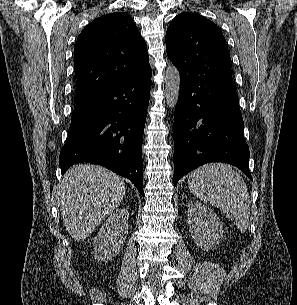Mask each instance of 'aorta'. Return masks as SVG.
Returning <instances> with one entry per match:
<instances>
[{
    "label": "aorta",
    "mask_w": 297,
    "mask_h": 305,
    "mask_svg": "<svg viewBox=\"0 0 297 305\" xmlns=\"http://www.w3.org/2000/svg\"><path fill=\"white\" fill-rule=\"evenodd\" d=\"M181 78L178 69L174 65H169L165 73V97L167 106L174 108L180 92Z\"/></svg>",
    "instance_id": "aorta-1"
}]
</instances>
